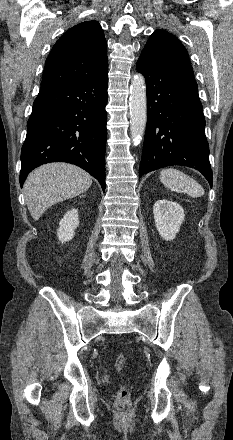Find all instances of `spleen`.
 <instances>
[{
  "label": "spleen",
  "mask_w": 233,
  "mask_h": 440,
  "mask_svg": "<svg viewBox=\"0 0 233 440\" xmlns=\"http://www.w3.org/2000/svg\"><path fill=\"white\" fill-rule=\"evenodd\" d=\"M160 181L172 191L187 193L193 198L204 195V189L197 181L174 168L163 169L160 172Z\"/></svg>",
  "instance_id": "obj_1"
}]
</instances>
